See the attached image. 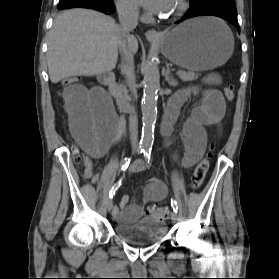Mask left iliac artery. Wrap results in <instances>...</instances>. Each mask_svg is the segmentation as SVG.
Returning a JSON list of instances; mask_svg holds the SVG:
<instances>
[{
    "label": "left iliac artery",
    "instance_id": "44dca946",
    "mask_svg": "<svg viewBox=\"0 0 279 279\" xmlns=\"http://www.w3.org/2000/svg\"><path fill=\"white\" fill-rule=\"evenodd\" d=\"M151 150H152V147H147L144 151V156L148 160V162H149L150 157H151ZM171 206L173 208V211H175L177 213L178 212V205H177V202L174 199L171 200Z\"/></svg>",
    "mask_w": 279,
    "mask_h": 279
}]
</instances>
